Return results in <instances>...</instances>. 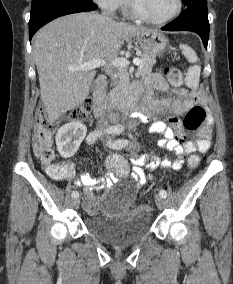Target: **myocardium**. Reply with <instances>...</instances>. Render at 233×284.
Masks as SVG:
<instances>
[{
	"instance_id": "1",
	"label": "myocardium",
	"mask_w": 233,
	"mask_h": 284,
	"mask_svg": "<svg viewBox=\"0 0 233 284\" xmlns=\"http://www.w3.org/2000/svg\"><path fill=\"white\" fill-rule=\"evenodd\" d=\"M128 6H129V11L131 15L135 17L136 19L142 22H145V23H149V24L162 25V24L170 22L171 20H173L180 14L182 10V0H175V7L173 11L169 15L161 19H153L143 14L138 9L135 0H128Z\"/></svg>"
}]
</instances>
